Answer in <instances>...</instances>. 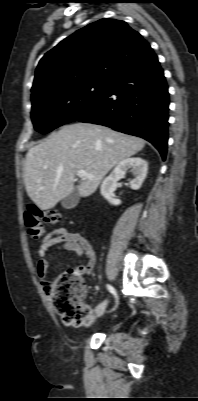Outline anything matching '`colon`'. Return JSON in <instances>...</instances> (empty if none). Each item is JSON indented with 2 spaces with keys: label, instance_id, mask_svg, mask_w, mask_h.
I'll use <instances>...</instances> for the list:
<instances>
[{
  "label": "colon",
  "instance_id": "colon-1",
  "mask_svg": "<svg viewBox=\"0 0 198 401\" xmlns=\"http://www.w3.org/2000/svg\"><path fill=\"white\" fill-rule=\"evenodd\" d=\"M62 220L59 213L42 211L30 205L24 213V223L28 234L33 239H39L46 224H58ZM49 294L56 312L64 324L68 326H87L93 320L92 311L85 306V290L81 271L77 268L68 269L62 273L50 286Z\"/></svg>",
  "mask_w": 198,
  "mask_h": 401
}]
</instances>
